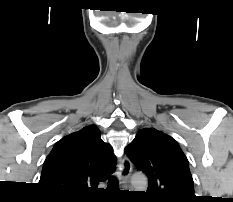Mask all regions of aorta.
Wrapping results in <instances>:
<instances>
[{"label": "aorta", "instance_id": "762f6f07", "mask_svg": "<svg viewBox=\"0 0 233 202\" xmlns=\"http://www.w3.org/2000/svg\"><path fill=\"white\" fill-rule=\"evenodd\" d=\"M132 184L136 189H146L147 188V179L144 176H134L132 178Z\"/></svg>", "mask_w": 233, "mask_h": 202}]
</instances>
